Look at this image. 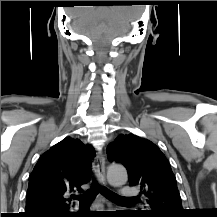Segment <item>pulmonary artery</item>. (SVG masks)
Listing matches in <instances>:
<instances>
[{
  "label": "pulmonary artery",
  "mask_w": 217,
  "mask_h": 217,
  "mask_svg": "<svg viewBox=\"0 0 217 217\" xmlns=\"http://www.w3.org/2000/svg\"><path fill=\"white\" fill-rule=\"evenodd\" d=\"M121 194L125 198H134L139 194V191L135 187L124 186L121 188Z\"/></svg>",
  "instance_id": "1"
}]
</instances>
